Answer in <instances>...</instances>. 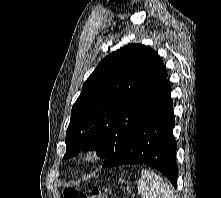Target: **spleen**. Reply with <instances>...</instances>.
Segmentation results:
<instances>
[{"mask_svg": "<svg viewBox=\"0 0 221 198\" xmlns=\"http://www.w3.org/2000/svg\"><path fill=\"white\" fill-rule=\"evenodd\" d=\"M138 193L142 198H174L169 185L163 178L147 169L141 171Z\"/></svg>", "mask_w": 221, "mask_h": 198, "instance_id": "obj_1", "label": "spleen"}]
</instances>
